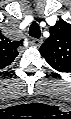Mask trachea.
I'll return each mask as SVG.
<instances>
[{
	"mask_svg": "<svg viewBox=\"0 0 71 119\" xmlns=\"http://www.w3.org/2000/svg\"><path fill=\"white\" fill-rule=\"evenodd\" d=\"M29 35L34 38H40L41 31L39 25L34 22L29 29Z\"/></svg>",
	"mask_w": 71,
	"mask_h": 119,
	"instance_id": "obj_1",
	"label": "trachea"
}]
</instances>
